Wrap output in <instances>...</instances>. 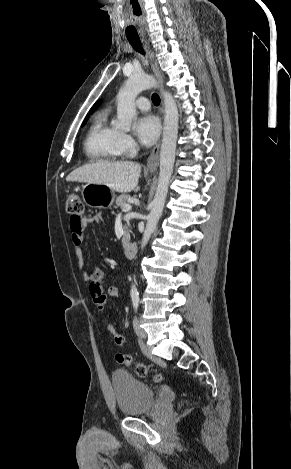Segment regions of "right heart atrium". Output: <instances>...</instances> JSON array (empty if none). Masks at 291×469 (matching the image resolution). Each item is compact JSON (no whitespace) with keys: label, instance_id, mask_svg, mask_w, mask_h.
Segmentation results:
<instances>
[{"label":"right heart atrium","instance_id":"1","mask_svg":"<svg viewBox=\"0 0 291 469\" xmlns=\"http://www.w3.org/2000/svg\"><path fill=\"white\" fill-rule=\"evenodd\" d=\"M118 144L123 154H130L136 148V143L134 139L129 134L124 132H119Z\"/></svg>","mask_w":291,"mask_h":469}]
</instances>
